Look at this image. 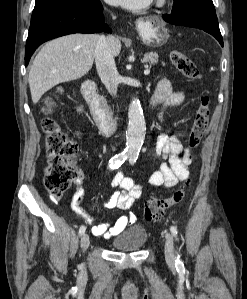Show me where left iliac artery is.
<instances>
[{
  "label": "left iliac artery",
  "mask_w": 247,
  "mask_h": 299,
  "mask_svg": "<svg viewBox=\"0 0 247 299\" xmlns=\"http://www.w3.org/2000/svg\"><path fill=\"white\" fill-rule=\"evenodd\" d=\"M136 157L135 156H130L129 157V162H130V164H134L135 162H136ZM170 231H171V233H172V235L174 236V237H176L177 238V235H178V231H177V228L175 227V226H171L170 227ZM183 265V263L181 262V259H180V256H179V254L177 255V257H176V265Z\"/></svg>",
  "instance_id": "obj_1"
}]
</instances>
